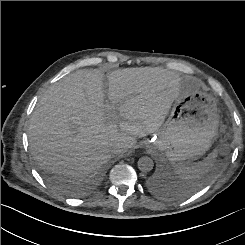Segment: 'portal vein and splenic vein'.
<instances>
[{
  "label": "portal vein and splenic vein",
  "mask_w": 245,
  "mask_h": 245,
  "mask_svg": "<svg viewBox=\"0 0 245 245\" xmlns=\"http://www.w3.org/2000/svg\"><path fill=\"white\" fill-rule=\"evenodd\" d=\"M110 117H111V121H114L117 118L116 114L114 113H111Z\"/></svg>",
  "instance_id": "18ae733b"
}]
</instances>
